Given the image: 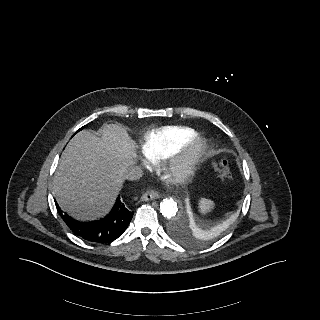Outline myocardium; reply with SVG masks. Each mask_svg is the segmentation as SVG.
Here are the masks:
<instances>
[{
    "instance_id": "f54148a6",
    "label": "myocardium",
    "mask_w": 320,
    "mask_h": 320,
    "mask_svg": "<svg viewBox=\"0 0 320 320\" xmlns=\"http://www.w3.org/2000/svg\"><path fill=\"white\" fill-rule=\"evenodd\" d=\"M206 150L205 140L199 136H193L178 153L173 155L166 169L167 174L178 182L186 181L194 174Z\"/></svg>"
}]
</instances>
